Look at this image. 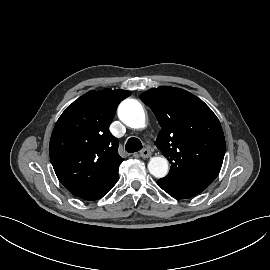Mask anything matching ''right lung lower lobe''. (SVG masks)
Masks as SVG:
<instances>
[{"mask_svg": "<svg viewBox=\"0 0 270 270\" xmlns=\"http://www.w3.org/2000/svg\"><path fill=\"white\" fill-rule=\"evenodd\" d=\"M118 179V178H117ZM117 179L113 181L111 184L105 186L104 188H101L94 192H88L81 195H78V197L85 199V200H97L101 197H103L117 182Z\"/></svg>", "mask_w": 270, "mask_h": 270, "instance_id": "98d812e1", "label": "right lung lower lobe"}]
</instances>
